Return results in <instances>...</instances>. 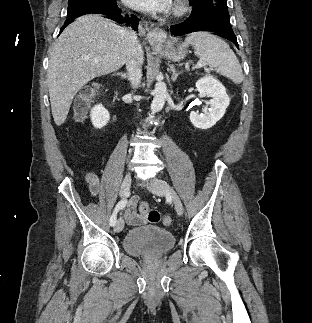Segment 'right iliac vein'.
Returning <instances> with one entry per match:
<instances>
[{
    "label": "right iliac vein",
    "instance_id": "obj_1",
    "mask_svg": "<svg viewBox=\"0 0 312 323\" xmlns=\"http://www.w3.org/2000/svg\"><path fill=\"white\" fill-rule=\"evenodd\" d=\"M130 186H131V174L130 172H127L123 178L122 184H121V188H120V196L121 197H125L128 195L129 190H130ZM124 226V221L122 218H119L117 223L115 224L114 227V231L116 233H120L123 229Z\"/></svg>",
    "mask_w": 312,
    "mask_h": 323
}]
</instances>
